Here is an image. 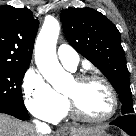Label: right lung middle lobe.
<instances>
[{"instance_id": "obj_1", "label": "right lung middle lobe", "mask_w": 136, "mask_h": 136, "mask_svg": "<svg viewBox=\"0 0 136 136\" xmlns=\"http://www.w3.org/2000/svg\"><path fill=\"white\" fill-rule=\"evenodd\" d=\"M28 66H0V110L27 112L21 93V84Z\"/></svg>"}]
</instances>
